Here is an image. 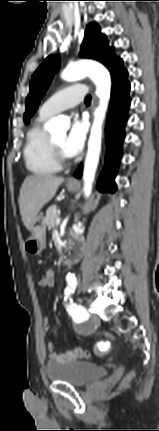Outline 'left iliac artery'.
<instances>
[{"label": "left iliac artery", "mask_w": 159, "mask_h": 431, "mask_svg": "<svg viewBox=\"0 0 159 431\" xmlns=\"http://www.w3.org/2000/svg\"><path fill=\"white\" fill-rule=\"evenodd\" d=\"M69 287L65 290V295L69 296L74 293L77 281L75 278L68 279ZM66 299V298H65ZM68 313L76 320V321H84L89 317L86 309L82 305H78L69 300V303L66 305Z\"/></svg>", "instance_id": "obj_1"}]
</instances>
